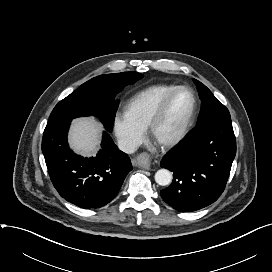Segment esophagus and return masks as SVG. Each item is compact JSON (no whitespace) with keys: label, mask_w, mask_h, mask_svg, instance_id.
<instances>
[{"label":"esophagus","mask_w":272,"mask_h":272,"mask_svg":"<svg viewBox=\"0 0 272 272\" xmlns=\"http://www.w3.org/2000/svg\"><path fill=\"white\" fill-rule=\"evenodd\" d=\"M135 163L142 169H149L151 167V160L147 153H141L135 158Z\"/></svg>","instance_id":"34e87169"}]
</instances>
